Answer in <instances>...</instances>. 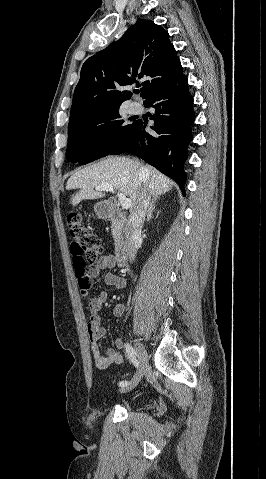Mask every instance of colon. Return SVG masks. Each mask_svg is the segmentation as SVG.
I'll return each mask as SVG.
<instances>
[{"mask_svg":"<svg viewBox=\"0 0 266 479\" xmlns=\"http://www.w3.org/2000/svg\"><path fill=\"white\" fill-rule=\"evenodd\" d=\"M69 233L72 238L70 251L73 268L83 295H89L93 281L87 273V267L93 266L103 253L101 239L85 225L81 213L73 211L67 217Z\"/></svg>","mask_w":266,"mask_h":479,"instance_id":"5ec220e1","label":"colon"}]
</instances>
